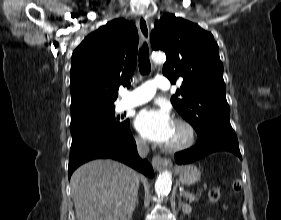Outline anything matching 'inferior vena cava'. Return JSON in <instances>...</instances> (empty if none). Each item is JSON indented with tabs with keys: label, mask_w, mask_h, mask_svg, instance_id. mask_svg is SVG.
Listing matches in <instances>:
<instances>
[{
	"label": "inferior vena cava",
	"mask_w": 281,
	"mask_h": 220,
	"mask_svg": "<svg viewBox=\"0 0 281 220\" xmlns=\"http://www.w3.org/2000/svg\"><path fill=\"white\" fill-rule=\"evenodd\" d=\"M137 144V151L141 157H146L149 153V146L146 141H143L142 139L136 140Z\"/></svg>",
	"instance_id": "602c4592"
}]
</instances>
